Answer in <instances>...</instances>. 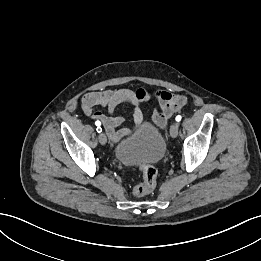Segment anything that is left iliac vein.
<instances>
[{
    "label": "left iliac vein",
    "mask_w": 261,
    "mask_h": 261,
    "mask_svg": "<svg viewBox=\"0 0 261 261\" xmlns=\"http://www.w3.org/2000/svg\"><path fill=\"white\" fill-rule=\"evenodd\" d=\"M179 124L174 123L170 128V135L172 138H176L178 135Z\"/></svg>",
    "instance_id": "1"
}]
</instances>
